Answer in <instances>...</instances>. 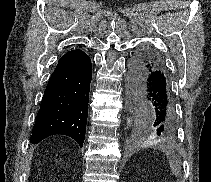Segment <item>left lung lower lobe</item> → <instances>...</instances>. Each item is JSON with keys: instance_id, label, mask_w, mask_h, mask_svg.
<instances>
[{"instance_id": "left-lung-lower-lobe-1", "label": "left lung lower lobe", "mask_w": 211, "mask_h": 182, "mask_svg": "<svg viewBox=\"0 0 211 182\" xmlns=\"http://www.w3.org/2000/svg\"><path fill=\"white\" fill-rule=\"evenodd\" d=\"M128 96L140 117L148 110L154 135L172 137L177 122L168 76L160 56L147 47L139 48L129 65Z\"/></svg>"}]
</instances>
